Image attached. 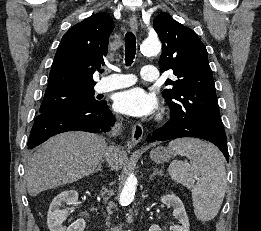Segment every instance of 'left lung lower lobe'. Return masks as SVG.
<instances>
[{
    "label": "left lung lower lobe",
    "mask_w": 261,
    "mask_h": 231,
    "mask_svg": "<svg viewBox=\"0 0 261 231\" xmlns=\"http://www.w3.org/2000/svg\"><path fill=\"white\" fill-rule=\"evenodd\" d=\"M182 137H194L212 142L222 151L226 160L229 161L226 140L204 133L191 126L184 120L175 117H171L170 120L165 125H163V127L155 130L151 135H149L147 137V141H164Z\"/></svg>",
    "instance_id": "0a47b994"
}]
</instances>
